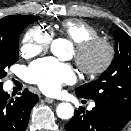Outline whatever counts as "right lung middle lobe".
<instances>
[{"label":"right lung middle lobe","mask_w":131,"mask_h":131,"mask_svg":"<svg viewBox=\"0 0 131 131\" xmlns=\"http://www.w3.org/2000/svg\"><path fill=\"white\" fill-rule=\"evenodd\" d=\"M39 19L38 16L17 15L10 20L7 30L0 33V80L7 75L5 69L18 60L19 35L25 27ZM2 85L0 81V87Z\"/></svg>","instance_id":"dd1d6c3e"}]
</instances>
